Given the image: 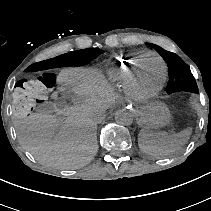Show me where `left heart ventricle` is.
Wrapping results in <instances>:
<instances>
[{
	"mask_svg": "<svg viewBox=\"0 0 211 211\" xmlns=\"http://www.w3.org/2000/svg\"><path fill=\"white\" fill-rule=\"evenodd\" d=\"M161 74V66L155 59L146 61L143 73L141 74V83L144 89L152 90L157 87L161 80Z\"/></svg>",
	"mask_w": 211,
	"mask_h": 211,
	"instance_id": "b2bd125f",
	"label": "left heart ventricle"
}]
</instances>
